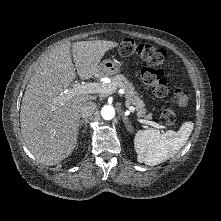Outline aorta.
Listing matches in <instances>:
<instances>
[{
    "instance_id": "762f6f07",
    "label": "aorta",
    "mask_w": 221,
    "mask_h": 221,
    "mask_svg": "<svg viewBox=\"0 0 221 221\" xmlns=\"http://www.w3.org/2000/svg\"><path fill=\"white\" fill-rule=\"evenodd\" d=\"M101 115L105 120H110L115 116V109L113 106L105 105L101 110Z\"/></svg>"
}]
</instances>
